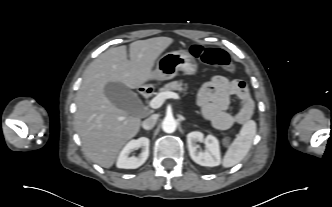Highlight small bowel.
Returning <instances> with one entry per match:
<instances>
[{
  "mask_svg": "<svg viewBox=\"0 0 332 207\" xmlns=\"http://www.w3.org/2000/svg\"><path fill=\"white\" fill-rule=\"evenodd\" d=\"M239 99L236 112L227 111L230 97ZM196 103L205 119L218 130H227L234 124L247 122L254 113L249 88L242 80H229L224 76L212 77L199 91Z\"/></svg>",
  "mask_w": 332,
  "mask_h": 207,
  "instance_id": "1",
  "label": "small bowel"
}]
</instances>
